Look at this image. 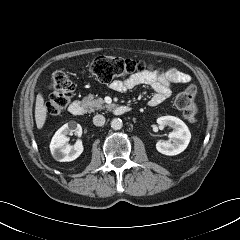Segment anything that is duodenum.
<instances>
[{
	"label": "duodenum",
	"instance_id": "410a0bca",
	"mask_svg": "<svg viewBox=\"0 0 240 240\" xmlns=\"http://www.w3.org/2000/svg\"><path fill=\"white\" fill-rule=\"evenodd\" d=\"M131 111V108L126 105H119L115 107L114 114L122 115ZM69 112L73 116H81L84 113V105L80 100H74L69 106Z\"/></svg>",
	"mask_w": 240,
	"mask_h": 240
}]
</instances>
